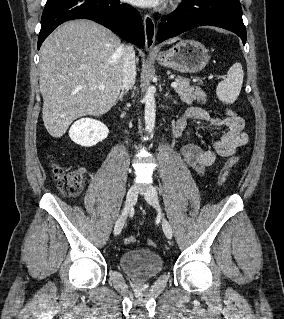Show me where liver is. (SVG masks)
Segmentation results:
<instances>
[{"label": "liver", "mask_w": 284, "mask_h": 319, "mask_svg": "<svg viewBox=\"0 0 284 319\" xmlns=\"http://www.w3.org/2000/svg\"><path fill=\"white\" fill-rule=\"evenodd\" d=\"M40 55L42 117L51 136L60 138L77 118L103 115L115 104L124 51L109 29L89 20L69 21L47 37Z\"/></svg>", "instance_id": "1"}]
</instances>
